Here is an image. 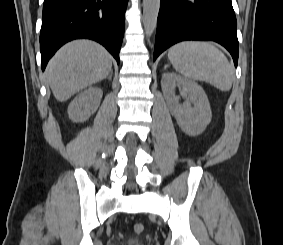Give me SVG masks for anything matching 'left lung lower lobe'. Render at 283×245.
<instances>
[{"mask_svg":"<svg viewBox=\"0 0 283 245\" xmlns=\"http://www.w3.org/2000/svg\"><path fill=\"white\" fill-rule=\"evenodd\" d=\"M236 28L231 0H161L153 60L177 42L212 40L231 53L237 66Z\"/></svg>","mask_w":283,"mask_h":245,"instance_id":"obj_1","label":"left lung lower lobe"}]
</instances>
